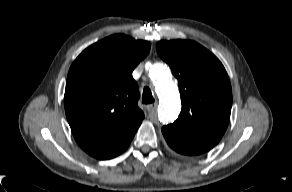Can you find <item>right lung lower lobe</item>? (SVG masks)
I'll list each match as a JSON object with an SVG mask.
<instances>
[{
    "label": "right lung lower lobe",
    "instance_id": "98d812e1",
    "mask_svg": "<svg viewBox=\"0 0 292 192\" xmlns=\"http://www.w3.org/2000/svg\"><path fill=\"white\" fill-rule=\"evenodd\" d=\"M134 135H135V132L130 134L127 137L116 140L114 142L98 143V144L84 143V144H80V147L89 155L97 159H101V160L111 159L120 155L127 149Z\"/></svg>",
    "mask_w": 292,
    "mask_h": 192
}]
</instances>
